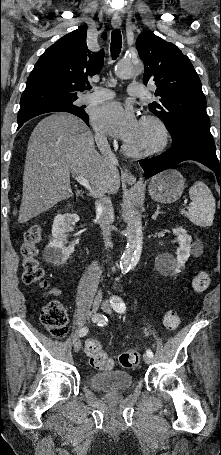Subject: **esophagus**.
<instances>
[{"label": "esophagus", "mask_w": 221, "mask_h": 455, "mask_svg": "<svg viewBox=\"0 0 221 455\" xmlns=\"http://www.w3.org/2000/svg\"><path fill=\"white\" fill-rule=\"evenodd\" d=\"M121 22H122L121 17L119 15H114L112 17L111 23L114 28H119L121 26ZM123 178L125 179L126 182L130 184L136 183L135 176L129 171L128 168L124 169Z\"/></svg>", "instance_id": "34e87169"}]
</instances>
